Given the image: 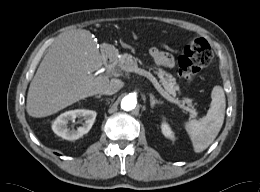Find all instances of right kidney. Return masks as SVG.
<instances>
[{
  "instance_id": "obj_1",
  "label": "right kidney",
  "mask_w": 260,
  "mask_h": 192,
  "mask_svg": "<svg viewBox=\"0 0 260 192\" xmlns=\"http://www.w3.org/2000/svg\"><path fill=\"white\" fill-rule=\"evenodd\" d=\"M96 115L95 111L85 109L67 111L56 118L52 129L54 133L64 139L76 140L88 133L95 121ZM76 118L80 119V121L84 120L82 126L76 130L68 128L67 124L69 121H75Z\"/></svg>"
}]
</instances>
